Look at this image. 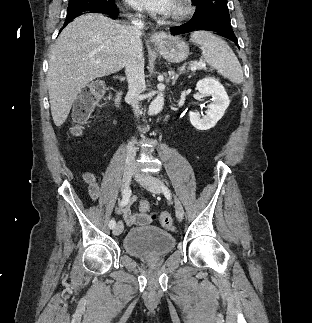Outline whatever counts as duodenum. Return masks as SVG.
<instances>
[{
  "label": "duodenum",
  "instance_id": "obj_1",
  "mask_svg": "<svg viewBox=\"0 0 312 323\" xmlns=\"http://www.w3.org/2000/svg\"><path fill=\"white\" fill-rule=\"evenodd\" d=\"M123 97H124V92L122 89H117L116 90V97H115V108L118 112H122L124 108L123 104Z\"/></svg>",
  "mask_w": 312,
  "mask_h": 323
}]
</instances>
